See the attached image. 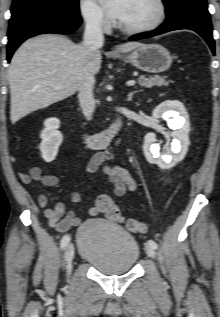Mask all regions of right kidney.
I'll use <instances>...</instances> for the list:
<instances>
[{
    "instance_id": "obj_1",
    "label": "right kidney",
    "mask_w": 220,
    "mask_h": 317,
    "mask_svg": "<svg viewBox=\"0 0 220 317\" xmlns=\"http://www.w3.org/2000/svg\"><path fill=\"white\" fill-rule=\"evenodd\" d=\"M44 129L40 134L42 142L39 146L41 156L45 162H52L63 141V135L58 131L60 121L57 118H49L44 122Z\"/></svg>"
}]
</instances>
